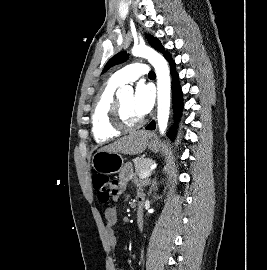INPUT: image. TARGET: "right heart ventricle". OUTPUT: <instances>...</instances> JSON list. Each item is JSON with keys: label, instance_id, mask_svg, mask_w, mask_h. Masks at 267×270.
<instances>
[{"label": "right heart ventricle", "instance_id": "right-heart-ventricle-1", "mask_svg": "<svg viewBox=\"0 0 267 270\" xmlns=\"http://www.w3.org/2000/svg\"><path fill=\"white\" fill-rule=\"evenodd\" d=\"M120 86L121 84L110 78L95 99L92 112V133L97 143H106L122 133L115 129L110 122L115 92Z\"/></svg>", "mask_w": 267, "mask_h": 270}]
</instances>
